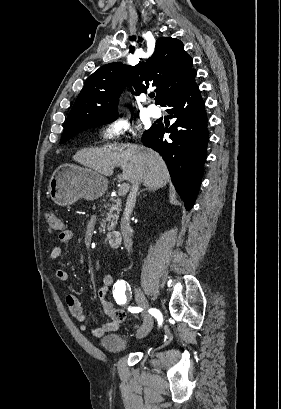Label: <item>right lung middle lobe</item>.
<instances>
[{
  "mask_svg": "<svg viewBox=\"0 0 281 409\" xmlns=\"http://www.w3.org/2000/svg\"><path fill=\"white\" fill-rule=\"evenodd\" d=\"M117 118H118V114L114 115V116H111V117H108V118H105V119H102V120H99L97 122H94V123L86 125V126L65 128L64 131H63L61 140H60V144L68 141L70 138H72L73 136H75L76 134H78L81 131H84L86 129H90V128H93V127H97V126H100V125H103V124L111 123L114 120H116Z\"/></svg>",
  "mask_w": 281,
  "mask_h": 409,
  "instance_id": "dd1d6c3e",
  "label": "right lung middle lobe"
}]
</instances>
